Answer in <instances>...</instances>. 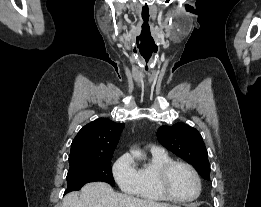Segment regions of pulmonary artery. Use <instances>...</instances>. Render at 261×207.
<instances>
[{
  "instance_id": "obj_1",
  "label": "pulmonary artery",
  "mask_w": 261,
  "mask_h": 207,
  "mask_svg": "<svg viewBox=\"0 0 261 207\" xmlns=\"http://www.w3.org/2000/svg\"><path fill=\"white\" fill-rule=\"evenodd\" d=\"M152 151H163V150L161 148H158V147H153Z\"/></svg>"
}]
</instances>
